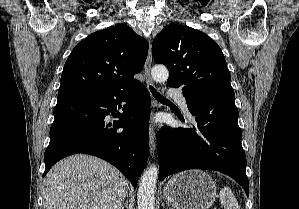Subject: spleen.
I'll return each instance as SVG.
<instances>
[{"instance_id": "3e777b00", "label": "spleen", "mask_w": 299, "mask_h": 209, "mask_svg": "<svg viewBox=\"0 0 299 209\" xmlns=\"http://www.w3.org/2000/svg\"><path fill=\"white\" fill-rule=\"evenodd\" d=\"M220 202L225 209H240L237 199L229 187H224L220 191Z\"/></svg>"}]
</instances>
